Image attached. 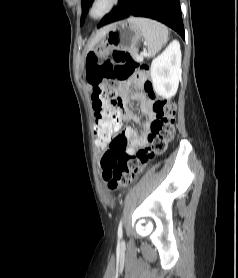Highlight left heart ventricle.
Wrapping results in <instances>:
<instances>
[{
    "mask_svg": "<svg viewBox=\"0 0 238 278\" xmlns=\"http://www.w3.org/2000/svg\"><path fill=\"white\" fill-rule=\"evenodd\" d=\"M106 7H107V0H103L101 3H99L96 6V8L94 10V13L96 15H98V14L102 13L105 10Z\"/></svg>",
    "mask_w": 238,
    "mask_h": 278,
    "instance_id": "b2bd125f",
    "label": "left heart ventricle"
}]
</instances>
